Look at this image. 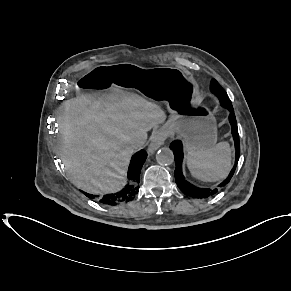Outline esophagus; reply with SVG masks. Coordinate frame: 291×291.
<instances>
[{
    "instance_id": "1",
    "label": "esophagus",
    "mask_w": 291,
    "mask_h": 291,
    "mask_svg": "<svg viewBox=\"0 0 291 291\" xmlns=\"http://www.w3.org/2000/svg\"><path fill=\"white\" fill-rule=\"evenodd\" d=\"M167 138V132L163 129H159L152 136L151 142L148 147L149 153H154L161 145H163L165 139Z\"/></svg>"
}]
</instances>
